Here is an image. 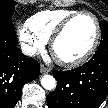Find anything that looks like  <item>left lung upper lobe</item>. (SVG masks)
<instances>
[{
	"label": "left lung upper lobe",
	"instance_id": "obj_1",
	"mask_svg": "<svg viewBox=\"0 0 108 108\" xmlns=\"http://www.w3.org/2000/svg\"><path fill=\"white\" fill-rule=\"evenodd\" d=\"M100 28L102 31V38L97 53H108V22L103 20L100 22Z\"/></svg>",
	"mask_w": 108,
	"mask_h": 108
}]
</instances>
